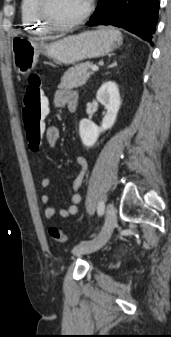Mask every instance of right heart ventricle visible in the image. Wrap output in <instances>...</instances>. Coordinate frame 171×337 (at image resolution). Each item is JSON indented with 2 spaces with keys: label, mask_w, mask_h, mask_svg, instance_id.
Instances as JSON below:
<instances>
[{
  "label": "right heart ventricle",
  "mask_w": 171,
  "mask_h": 337,
  "mask_svg": "<svg viewBox=\"0 0 171 337\" xmlns=\"http://www.w3.org/2000/svg\"><path fill=\"white\" fill-rule=\"evenodd\" d=\"M21 21L25 30L44 33L48 26L40 19L38 14V0H21Z\"/></svg>",
  "instance_id": "right-heart-ventricle-1"
}]
</instances>
